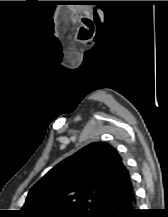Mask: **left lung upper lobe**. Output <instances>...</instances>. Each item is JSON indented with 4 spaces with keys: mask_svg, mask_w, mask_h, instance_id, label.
I'll use <instances>...</instances> for the list:
<instances>
[{
    "mask_svg": "<svg viewBox=\"0 0 168 217\" xmlns=\"http://www.w3.org/2000/svg\"><path fill=\"white\" fill-rule=\"evenodd\" d=\"M130 180L112 146L91 143L40 179L30 189L22 210L29 217H95L104 202ZM58 208L64 210H55Z\"/></svg>",
    "mask_w": 168,
    "mask_h": 217,
    "instance_id": "obj_1",
    "label": "left lung upper lobe"
}]
</instances>
